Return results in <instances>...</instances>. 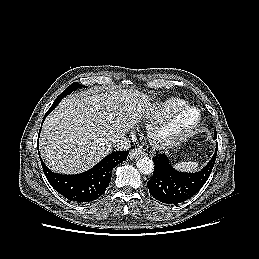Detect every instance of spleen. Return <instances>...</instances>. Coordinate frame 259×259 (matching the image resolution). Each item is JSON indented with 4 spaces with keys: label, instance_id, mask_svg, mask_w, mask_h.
I'll list each match as a JSON object with an SVG mask.
<instances>
[{
    "label": "spleen",
    "instance_id": "obj_1",
    "mask_svg": "<svg viewBox=\"0 0 259 259\" xmlns=\"http://www.w3.org/2000/svg\"><path fill=\"white\" fill-rule=\"evenodd\" d=\"M177 170L192 172L196 171L199 167L197 162H180L174 166Z\"/></svg>",
    "mask_w": 259,
    "mask_h": 259
}]
</instances>
